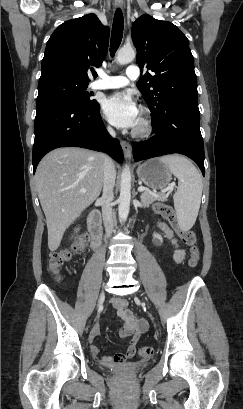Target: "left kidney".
<instances>
[{"mask_svg": "<svg viewBox=\"0 0 243 409\" xmlns=\"http://www.w3.org/2000/svg\"><path fill=\"white\" fill-rule=\"evenodd\" d=\"M153 243H154L155 245H161V244L163 243L162 237H161L159 234L154 233V234H153Z\"/></svg>", "mask_w": 243, "mask_h": 409, "instance_id": "obj_1", "label": "left kidney"}]
</instances>
